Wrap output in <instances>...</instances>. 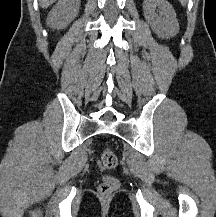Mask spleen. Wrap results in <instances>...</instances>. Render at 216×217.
I'll list each match as a JSON object with an SVG mask.
<instances>
[{
  "instance_id": "3e777b00",
  "label": "spleen",
  "mask_w": 216,
  "mask_h": 217,
  "mask_svg": "<svg viewBox=\"0 0 216 217\" xmlns=\"http://www.w3.org/2000/svg\"><path fill=\"white\" fill-rule=\"evenodd\" d=\"M181 2V4L184 6L186 4L187 0H179Z\"/></svg>"
}]
</instances>
